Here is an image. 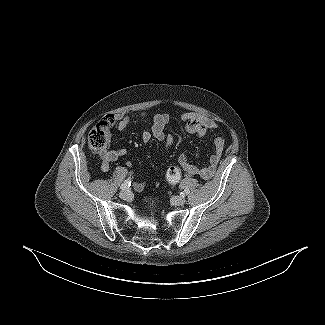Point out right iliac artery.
Masks as SVG:
<instances>
[{"label": "right iliac artery", "instance_id": "82829eb1", "mask_svg": "<svg viewBox=\"0 0 325 325\" xmlns=\"http://www.w3.org/2000/svg\"><path fill=\"white\" fill-rule=\"evenodd\" d=\"M130 186H131V180L127 179L122 183V185L120 186V189L123 191V190L127 189Z\"/></svg>", "mask_w": 325, "mask_h": 325}]
</instances>
